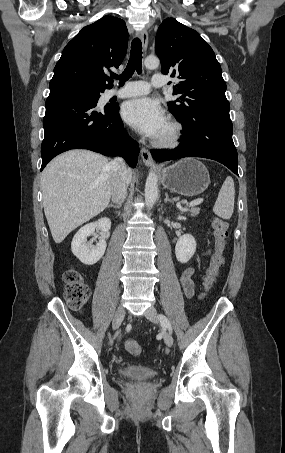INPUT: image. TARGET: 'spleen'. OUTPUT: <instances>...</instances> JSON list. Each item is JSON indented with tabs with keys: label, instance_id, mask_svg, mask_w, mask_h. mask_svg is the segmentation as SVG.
<instances>
[{
	"label": "spleen",
	"instance_id": "obj_1",
	"mask_svg": "<svg viewBox=\"0 0 285 453\" xmlns=\"http://www.w3.org/2000/svg\"><path fill=\"white\" fill-rule=\"evenodd\" d=\"M234 199V181L231 176H228L219 191L213 212L222 219H230L234 210Z\"/></svg>",
	"mask_w": 285,
	"mask_h": 453
}]
</instances>
